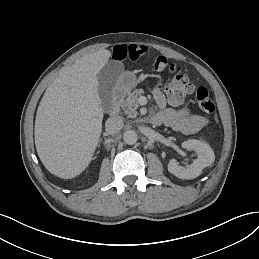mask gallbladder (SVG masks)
I'll return each instance as SVG.
<instances>
[{
  "mask_svg": "<svg viewBox=\"0 0 259 259\" xmlns=\"http://www.w3.org/2000/svg\"><path fill=\"white\" fill-rule=\"evenodd\" d=\"M123 69L122 62L111 60L97 74L99 82L98 95L103 112H109L112 108L113 91Z\"/></svg>",
  "mask_w": 259,
  "mask_h": 259,
  "instance_id": "1",
  "label": "gallbladder"
}]
</instances>
